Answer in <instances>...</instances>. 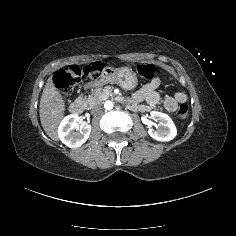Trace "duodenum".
I'll list each match as a JSON object with an SVG mask.
<instances>
[{
  "label": "duodenum",
  "mask_w": 236,
  "mask_h": 236,
  "mask_svg": "<svg viewBox=\"0 0 236 236\" xmlns=\"http://www.w3.org/2000/svg\"><path fill=\"white\" fill-rule=\"evenodd\" d=\"M88 86H91V84H89ZM85 109V104L81 99H76L74 100L70 106H69V110L71 113L73 114H81Z\"/></svg>",
  "instance_id": "obj_1"
}]
</instances>
